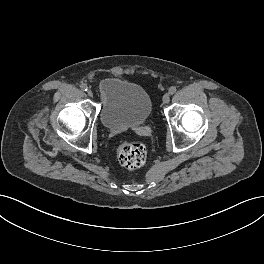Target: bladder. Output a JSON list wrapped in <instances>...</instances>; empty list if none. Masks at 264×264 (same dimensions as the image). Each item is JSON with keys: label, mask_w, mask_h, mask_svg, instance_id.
I'll return each instance as SVG.
<instances>
[{"label": "bladder", "mask_w": 264, "mask_h": 264, "mask_svg": "<svg viewBox=\"0 0 264 264\" xmlns=\"http://www.w3.org/2000/svg\"><path fill=\"white\" fill-rule=\"evenodd\" d=\"M99 95L100 118L108 129L139 126L145 123L151 114V97L138 84L108 78L100 83Z\"/></svg>", "instance_id": "bladder-1"}]
</instances>
